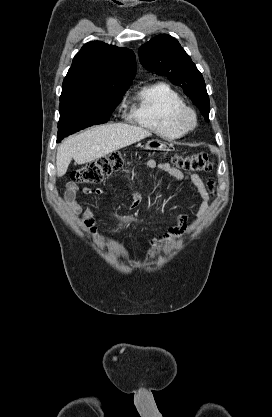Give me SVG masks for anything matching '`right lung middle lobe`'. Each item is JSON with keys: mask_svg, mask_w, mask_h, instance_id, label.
Here are the masks:
<instances>
[{"mask_svg": "<svg viewBox=\"0 0 272 417\" xmlns=\"http://www.w3.org/2000/svg\"><path fill=\"white\" fill-rule=\"evenodd\" d=\"M126 90L60 100L57 142L86 127L106 123Z\"/></svg>", "mask_w": 272, "mask_h": 417, "instance_id": "1", "label": "right lung middle lobe"}]
</instances>
